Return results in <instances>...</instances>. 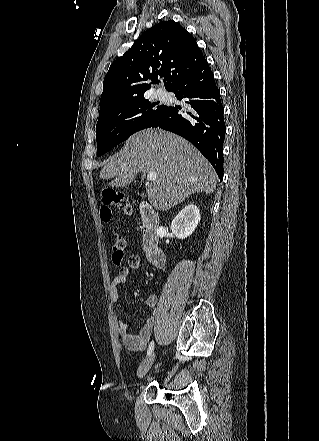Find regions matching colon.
<instances>
[{
  "label": "colon",
  "instance_id": "1",
  "mask_svg": "<svg viewBox=\"0 0 319 441\" xmlns=\"http://www.w3.org/2000/svg\"><path fill=\"white\" fill-rule=\"evenodd\" d=\"M102 203L100 215L104 222H109L112 219V207L120 208L126 213H131L133 210L129 199L124 194L116 192L115 190L104 191ZM111 249L113 258L118 264L124 257L127 250V242L122 234L114 233Z\"/></svg>",
  "mask_w": 319,
  "mask_h": 441
}]
</instances>
